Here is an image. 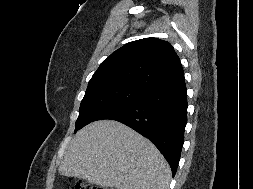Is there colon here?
I'll list each match as a JSON object with an SVG mask.
<instances>
[{
	"label": "colon",
	"mask_w": 253,
	"mask_h": 189,
	"mask_svg": "<svg viewBox=\"0 0 253 189\" xmlns=\"http://www.w3.org/2000/svg\"><path fill=\"white\" fill-rule=\"evenodd\" d=\"M74 189H108V188L103 187V186L93 185L91 183L84 182V181H77L74 184Z\"/></svg>",
	"instance_id": "obj_1"
}]
</instances>
